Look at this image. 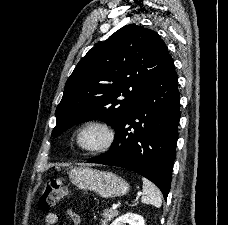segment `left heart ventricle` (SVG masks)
<instances>
[{"label": "left heart ventricle", "mask_w": 228, "mask_h": 225, "mask_svg": "<svg viewBox=\"0 0 228 225\" xmlns=\"http://www.w3.org/2000/svg\"><path fill=\"white\" fill-rule=\"evenodd\" d=\"M83 140L86 143L97 144L102 141V135L98 131L92 130L84 135Z\"/></svg>", "instance_id": "b2bd125f"}]
</instances>
